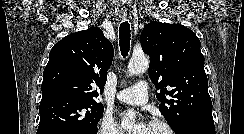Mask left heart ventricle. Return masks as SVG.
I'll return each instance as SVG.
<instances>
[{
    "label": "left heart ventricle",
    "mask_w": 244,
    "mask_h": 134,
    "mask_svg": "<svg viewBox=\"0 0 244 134\" xmlns=\"http://www.w3.org/2000/svg\"><path fill=\"white\" fill-rule=\"evenodd\" d=\"M146 134H168V133L162 127L151 124Z\"/></svg>",
    "instance_id": "left-heart-ventricle-1"
}]
</instances>
